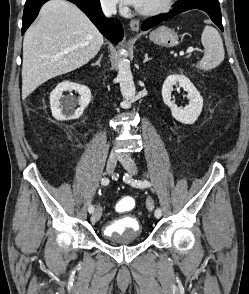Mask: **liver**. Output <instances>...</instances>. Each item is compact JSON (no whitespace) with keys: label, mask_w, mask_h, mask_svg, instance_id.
I'll list each match as a JSON object with an SVG mask.
<instances>
[{"label":"liver","mask_w":249,"mask_h":294,"mask_svg":"<svg viewBox=\"0 0 249 294\" xmlns=\"http://www.w3.org/2000/svg\"><path fill=\"white\" fill-rule=\"evenodd\" d=\"M103 36L75 5L50 0L23 40L22 98L56 76L74 71L94 58Z\"/></svg>","instance_id":"1"}]
</instances>
